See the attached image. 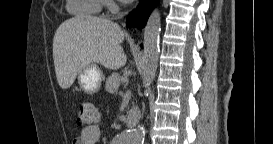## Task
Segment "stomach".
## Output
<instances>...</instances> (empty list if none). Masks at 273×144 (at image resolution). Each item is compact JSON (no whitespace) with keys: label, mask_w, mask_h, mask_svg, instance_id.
Masks as SVG:
<instances>
[{"label":"stomach","mask_w":273,"mask_h":144,"mask_svg":"<svg viewBox=\"0 0 273 144\" xmlns=\"http://www.w3.org/2000/svg\"><path fill=\"white\" fill-rule=\"evenodd\" d=\"M103 80V72L95 63L88 64L78 73L80 88L88 94L98 92Z\"/></svg>","instance_id":"0dacf381"}]
</instances>
